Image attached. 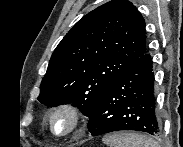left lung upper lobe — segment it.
<instances>
[{
	"label": "left lung upper lobe",
	"instance_id": "left-lung-upper-lobe-1",
	"mask_svg": "<svg viewBox=\"0 0 183 147\" xmlns=\"http://www.w3.org/2000/svg\"><path fill=\"white\" fill-rule=\"evenodd\" d=\"M147 50L145 21L127 0H112L89 12L53 52L38 100L73 104L90 117L113 81Z\"/></svg>",
	"mask_w": 183,
	"mask_h": 147
}]
</instances>
